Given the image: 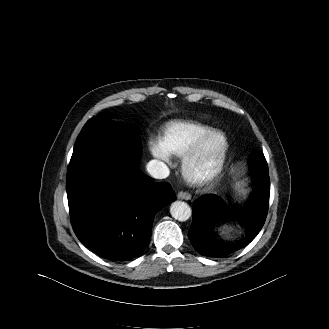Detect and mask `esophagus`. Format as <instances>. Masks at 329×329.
Masks as SVG:
<instances>
[{
    "mask_svg": "<svg viewBox=\"0 0 329 329\" xmlns=\"http://www.w3.org/2000/svg\"><path fill=\"white\" fill-rule=\"evenodd\" d=\"M177 198H178V199H181V200H190V199H191V194L188 193V192L180 191V192L177 194Z\"/></svg>",
    "mask_w": 329,
    "mask_h": 329,
    "instance_id": "obj_1",
    "label": "esophagus"
}]
</instances>
